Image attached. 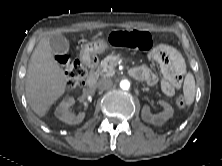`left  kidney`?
Returning <instances> with one entry per match:
<instances>
[{
	"instance_id": "5707ae66",
	"label": "left kidney",
	"mask_w": 222,
	"mask_h": 166,
	"mask_svg": "<svg viewBox=\"0 0 222 166\" xmlns=\"http://www.w3.org/2000/svg\"><path fill=\"white\" fill-rule=\"evenodd\" d=\"M159 104L164 108L163 112L153 115L150 112V108L148 106H144L141 113L142 119L153 125L160 126L173 116L174 110L170 104L165 101H159Z\"/></svg>"
}]
</instances>
